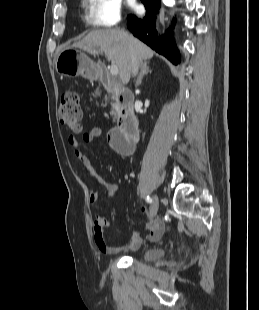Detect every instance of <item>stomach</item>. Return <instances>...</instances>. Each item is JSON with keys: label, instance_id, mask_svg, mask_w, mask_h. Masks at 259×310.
Here are the masks:
<instances>
[{"label": "stomach", "instance_id": "obj_1", "mask_svg": "<svg viewBox=\"0 0 259 310\" xmlns=\"http://www.w3.org/2000/svg\"><path fill=\"white\" fill-rule=\"evenodd\" d=\"M56 70L68 77L79 75L88 79L96 77L91 60L75 47H66L59 53L56 60Z\"/></svg>", "mask_w": 259, "mask_h": 310}]
</instances>
